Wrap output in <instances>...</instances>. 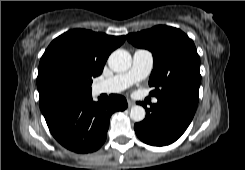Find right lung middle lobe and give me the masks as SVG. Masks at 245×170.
<instances>
[{
    "label": "right lung middle lobe",
    "mask_w": 245,
    "mask_h": 170,
    "mask_svg": "<svg viewBox=\"0 0 245 170\" xmlns=\"http://www.w3.org/2000/svg\"><path fill=\"white\" fill-rule=\"evenodd\" d=\"M51 88L61 98H70L80 93L81 85L76 80L67 77H57L53 79Z\"/></svg>",
    "instance_id": "dd1d6c3e"
}]
</instances>
